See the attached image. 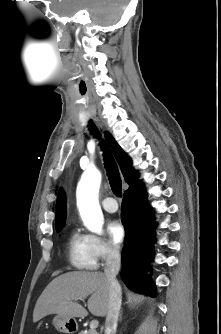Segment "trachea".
Here are the masks:
<instances>
[{"instance_id":"obj_1","label":"trachea","mask_w":221,"mask_h":334,"mask_svg":"<svg viewBox=\"0 0 221 334\" xmlns=\"http://www.w3.org/2000/svg\"><path fill=\"white\" fill-rule=\"evenodd\" d=\"M90 126H91V130L92 132L96 133V135H98L97 129L95 127V125L92 123V121L90 122ZM102 150H103V155H104V160H105V167H106V171H107V175L109 178V183L111 186V189L113 191V193L117 196L121 195V189H122V182L120 179V175L118 172V168L116 166V163L113 159V156L109 150V148L107 147V145L103 142L102 145Z\"/></svg>"}]
</instances>
